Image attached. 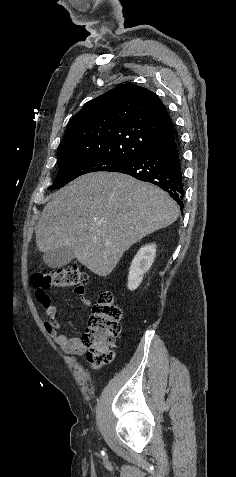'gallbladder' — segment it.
Wrapping results in <instances>:
<instances>
[{
  "instance_id": "gallbladder-1",
  "label": "gallbladder",
  "mask_w": 236,
  "mask_h": 477,
  "mask_svg": "<svg viewBox=\"0 0 236 477\" xmlns=\"http://www.w3.org/2000/svg\"><path fill=\"white\" fill-rule=\"evenodd\" d=\"M73 258V251L68 247L50 250L43 255L44 262L51 268L63 267L70 263Z\"/></svg>"
}]
</instances>
